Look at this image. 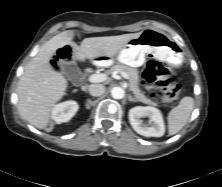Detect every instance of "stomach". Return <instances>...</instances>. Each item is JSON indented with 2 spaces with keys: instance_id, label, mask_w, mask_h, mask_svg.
<instances>
[{
  "instance_id": "obj_1",
  "label": "stomach",
  "mask_w": 222,
  "mask_h": 187,
  "mask_svg": "<svg viewBox=\"0 0 222 187\" xmlns=\"http://www.w3.org/2000/svg\"><path fill=\"white\" fill-rule=\"evenodd\" d=\"M165 61L174 67H179L184 62L182 48L165 32L156 29H146L137 38L131 39L115 55L119 63L140 67L146 57ZM99 64L106 65L108 57L97 58Z\"/></svg>"
}]
</instances>
